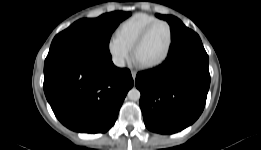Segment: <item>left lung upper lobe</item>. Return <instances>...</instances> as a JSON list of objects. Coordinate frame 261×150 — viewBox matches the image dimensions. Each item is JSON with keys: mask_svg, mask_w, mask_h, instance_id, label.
Here are the masks:
<instances>
[{"mask_svg": "<svg viewBox=\"0 0 261 150\" xmlns=\"http://www.w3.org/2000/svg\"><path fill=\"white\" fill-rule=\"evenodd\" d=\"M156 16L160 19L166 20L169 23L172 34V40L182 31L187 29V27L178 18L174 16L161 14H156Z\"/></svg>", "mask_w": 261, "mask_h": 150, "instance_id": "obj_1", "label": "left lung upper lobe"}]
</instances>
